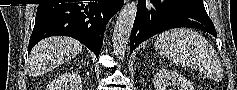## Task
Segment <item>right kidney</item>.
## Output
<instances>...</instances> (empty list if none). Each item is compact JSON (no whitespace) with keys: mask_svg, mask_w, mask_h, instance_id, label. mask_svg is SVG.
Here are the masks:
<instances>
[{"mask_svg":"<svg viewBox=\"0 0 237 90\" xmlns=\"http://www.w3.org/2000/svg\"><path fill=\"white\" fill-rule=\"evenodd\" d=\"M73 84H76V86H80L81 78H79V76H75V80H74ZM58 86H59V84H58ZM52 88H56V90H57V86H52ZM80 90H81V86H80Z\"/></svg>","mask_w":237,"mask_h":90,"instance_id":"obj_1","label":"right kidney"}]
</instances>
